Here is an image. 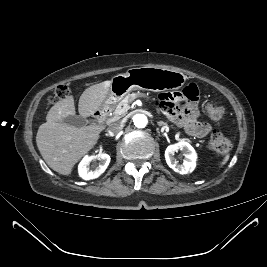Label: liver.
Instances as JSON below:
<instances>
[{
    "label": "liver",
    "instance_id": "obj_1",
    "mask_svg": "<svg viewBox=\"0 0 267 267\" xmlns=\"http://www.w3.org/2000/svg\"><path fill=\"white\" fill-rule=\"evenodd\" d=\"M111 80L92 85L79 98V114L86 118L93 115L107 97ZM73 96L56 102L48 111L46 122L39 126L36 143L47 165L62 175H70L74 165L97 143L103 127L91 124L77 128L61 120L75 116Z\"/></svg>",
    "mask_w": 267,
    "mask_h": 267
}]
</instances>
